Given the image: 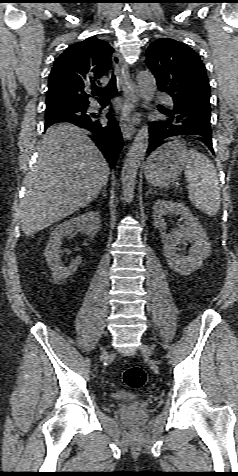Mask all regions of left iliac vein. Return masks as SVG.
Masks as SVG:
<instances>
[{
  "mask_svg": "<svg viewBox=\"0 0 238 476\" xmlns=\"http://www.w3.org/2000/svg\"><path fill=\"white\" fill-rule=\"evenodd\" d=\"M140 349H141V352L145 355L150 356V355L153 354V349L151 347L146 346V345H142Z\"/></svg>",
  "mask_w": 238,
  "mask_h": 476,
  "instance_id": "1",
  "label": "left iliac vein"
}]
</instances>
